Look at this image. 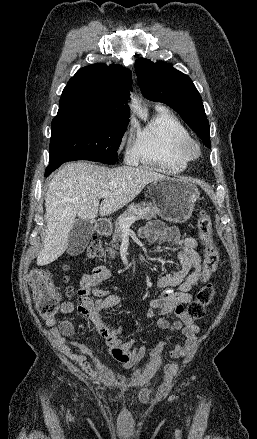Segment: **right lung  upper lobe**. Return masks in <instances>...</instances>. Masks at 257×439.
Returning <instances> with one entry per match:
<instances>
[{
    "instance_id": "1",
    "label": "right lung upper lobe",
    "mask_w": 257,
    "mask_h": 439,
    "mask_svg": "<svg viewBox=\"0 0 257 439\" xmlns=\"http://www.w3.org/2000/svg\"><path fill=\"white\" fill-rule=\"evenodd\" d=\"M132 73L120 65L96 63L81 68L64 88L57 116L75 112L129 115Z\"/></svg>"
}]
</instances>
